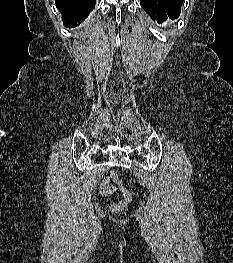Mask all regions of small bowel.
Wrapping results in <instances>:
<instances>
[{"instance_id":"small-bowel-1","label":"small bowel","mask_w":233,"mask_h":263,"mask_svg":"<svg viewBox=\"0 0 233 263\" xmlns=\"http://www.w3.org/2000/svg\"><path fill=\"white\" fill-rule=\"evenodd\" d=\"M113 178V177H112ZM116 191V186L110 184L109 177H104L100 184V193L104 196H110Z\"/></svg>"}]
</instances>
